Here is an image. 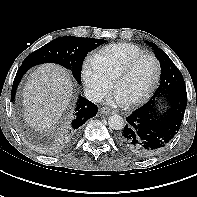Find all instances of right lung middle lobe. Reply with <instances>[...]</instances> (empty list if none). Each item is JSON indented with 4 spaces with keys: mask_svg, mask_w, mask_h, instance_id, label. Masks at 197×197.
I'll list each match as a JSON object with an SVG mask.
<instances>
[{
    "mask_svg": "<svg viewBox=\"0 0 197 197\" xmlns=\"http://www.w3.org/2000/svg\"><path fill=\"white\" fill-rule=\"evenodd\" d=\"M104 42L105 40L94 38L59 37L27 56L22 65L32 67L42 63H57L70 70L80 83L84 58Z\"/></svg>",
    "mask_w": 197,
    "mask_h": 197,
    "instance_id": "dd1d6c3e",
    "label": "right lung middle lobe"
}]
</instances>
